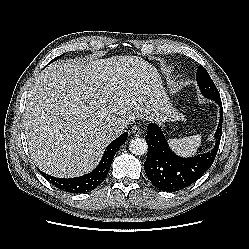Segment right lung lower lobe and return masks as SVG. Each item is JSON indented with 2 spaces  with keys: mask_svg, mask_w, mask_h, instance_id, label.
I'll use <instances>...</instances> for the list:
<instances>
[{
  "mask_svg": "<svg viewBox=\"0 0 249 249\" xmlns=\"http://www.w3.org/2000/svg\"><path fill=\"white\" fill-rule=\"evenodd\" d=\"M128 137V133L125 132L111 142L105 149L102 159L98 166L90 173L76 177V178H56L45 174L42 175L51 182L55 187L62 189L66 192L71 193H85L95 189L101 184L106 178L109 169L111 167L112 160L119 150L120 146L123 145Z\"/></svg>",
  "mask_w": 249,
  "mask_h": 249,
  "instance_id": "right-lung-lower-lobe-1",
  "label": "right lung lower lobe"
}]
</instances>
